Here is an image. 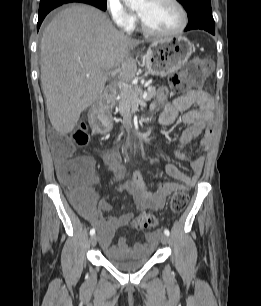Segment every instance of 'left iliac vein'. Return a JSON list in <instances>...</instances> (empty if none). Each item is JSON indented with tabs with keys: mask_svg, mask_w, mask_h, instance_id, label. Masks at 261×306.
<instances>
[{
	"mask_svg": "<svg viewBox=\"0 0 261 306\" xmlns=\"http://www.w3.org/2000/svg\"><path fill=\"white\" fill-rule=\"evenodd\" d=\"M160 240H161V242H162L163 244H168V242H169L168 236H166V235H164V234L161 235Z\"/></svg>",
	"mask_w": 261,
	"mask_h": 306,
	"instance_id": "4c4485c4",
	"label": "left iliac vein"
}]
</instances>
